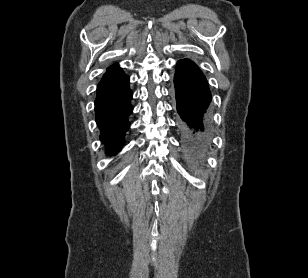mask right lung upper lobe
I'll return each mask as SVG.
<instances>
[{
	"mask_svg": "<svg viewBox=\"0 0 308 278\" xmlns=\"http://www.w3.org/2000/svg\"><path fill=\"white\" fill-rule=\"evenodd\" d=\"M126 75L123 73L118 64H114L107 69L100 83L113 82L124 78Z\"/></svg>",
	"mask_w": 308,
	"mask_h": 278,
	"instance_id": "cb5924a9",
	"label": "right lung upper lobe"
}]
</instances>
